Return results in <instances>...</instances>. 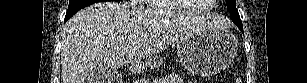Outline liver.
Segmentation results:
<instances>
[{
	"label": "liver",
	"instance_id": "liver-1",
	"mask_svg": "<svg viewBox=\"0 0 307 83\" xmlns=\"http://www.w3.org/2000/svg\"><path fill=\"white\" fill-rule=\"evenodd\" d=\"M208 14L142 10L129 3L102 2L85 8L65 25L61 47V83H85L96 67L135 70L172 42L216 24Z\"/></svg>",
	"mask_w": 307,
	"mask_h": 83
}]
</instances>
